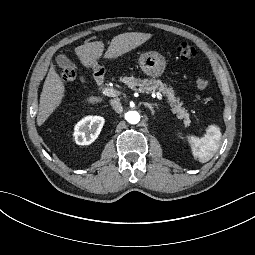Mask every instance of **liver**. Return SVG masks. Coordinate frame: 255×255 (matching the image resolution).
<instances>
[{"label": "liver", "instance_id": "1", "mask_svg": "<svg viewBox=\"0 0 255 255\" xmlns=\"http://www.w3.org/2000/svg\"><path fill=\"white\" fill-rule=\"evenodd\" d=\"M152 37L149 33L128 32L115 36L106 51L104 57L107 59L119 56L135 49ZM104 44L102 41L89 42L75 48V53L85 67L96 64V60L102 56ZM65 87L53 67L50 68L45 79L40 95L39 112L37 124L41 126L61 103ZM100 97H90V103L100 102Z\"/></svg>", "mask_w": 255, "mask_h": 255}]
</instances>
